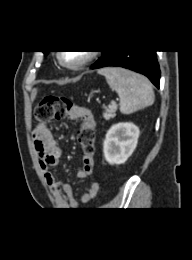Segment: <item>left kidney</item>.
Here are the masks:
<instances>
[{
  "mask_svg": "<svg viewBox=\"0 0 192 260\" xmlns=\"http://www.w3.org/2000/svg\"><path fill=\"white\" fill-rule=\"evenodd\" d=\"M140 130L133 123L113 125L106 134L103 152L109 164H123L134 152Z\"/></svg>",
  "mask_w": 192,
  "mask_h": 260,
  "instance_id": "left-kidney-1",
  "label": "left kidney"
}]
</instances>
